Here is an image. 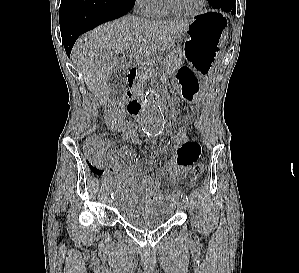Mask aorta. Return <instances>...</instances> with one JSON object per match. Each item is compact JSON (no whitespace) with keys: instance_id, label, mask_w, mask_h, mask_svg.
<instances>
[{"instance_id":"obj_1","label":"aorta","mask_w":299,"mask_h":273,"mask_svg":"<svg viewBox=\"0 0 299 273\" xmlns=\"http://www.w3.org/2000/svg\"><path fill=\"white\" fill-rule=\"evenodd\" d=\"M164 115L157 92L150 88L145 95V102L140 115V126L149 136H157L164 129Z\"/></svg>"}]
</instances>
